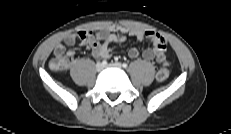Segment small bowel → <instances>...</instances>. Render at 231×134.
<instances>
[{
	"mask_svg": "<svg viewBox=\"0 0 231 134\" xmlns=\"http://www.w3.org/2000/svg\"><path fill=\"white\" fill-rule=\"evenodd\" d=\"M136 37L139 41L148 40L152 46L146 48L142 52V57L146 61H155L157 63L165 62L167 44L165 39L158 33L153 31H144L140 29L111 26L99 31H77L69 34L61 42L58 43L54 50L55 57H67L69 65L76 61V53L74 50L66 51V47L74 45L79 39L83 45H87L95 58L108 59L113 53L111 43H122L127 36ZM140 50L136 47L128 51V56L132 59L139 57Z\"/></svg>",
	"mask_w": 231,
	"mask_h": 134,
	"instance_id": "small-bowel-1",
	"label": "small bowel"
}]
</instances>
